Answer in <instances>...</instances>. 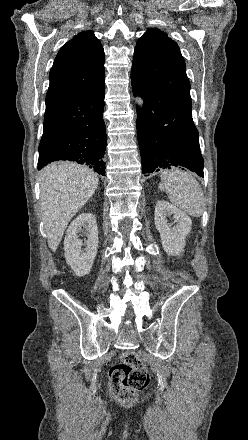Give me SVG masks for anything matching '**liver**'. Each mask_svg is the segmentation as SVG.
Wrapping results in <instances>:
<instances>
[{
    "label": "liver",
    "instance_id": "1",
    "mask_svg": "<svg viewBox=\"0 0 248 440\" xmlns=\"http://www.w3.org/2000/svg\"><path fill=\"white\" fill-rule=\"evenodd\" d=\"M99 179L86 166L56 162L40 177L41 213L49 248L55 252L73 216L93 196Z\"/></svg>",
    "mask_w": 248,
    "mask_h": 440
}]
</instances>
